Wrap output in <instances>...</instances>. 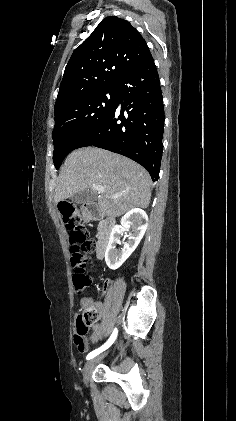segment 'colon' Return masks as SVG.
<instances>
[{
    "label": "colon",
    "instance_id": "obj_1",
    "mask_svg": "<svg viewBox=\"0 0 236 421\" xmlns=\"http://www.w3.org/2000/svg\"><path fill=\"white\" fill-rule=\"evenodd\" d=\"M63 219L70 238L71 265L75 271L73 274V284L75 292L82 294L87 291L92 284L90 276L85 271L87 263L86 254L93 249V242L88 239V232L81 224L80 212L71 207L63 208ZM98 319V310L92 304L82 305L76 318V333L74 344L80 353L87 350L86 334L91 326Z\"/></svg>",
    "mask_w": 236,
    "mask_h": 421
}]
</instances>
